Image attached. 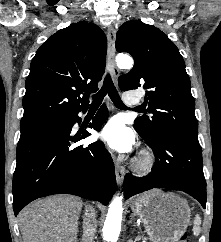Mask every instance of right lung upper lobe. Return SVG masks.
<instances>
[{"mask_svg": "<svg viewBox=\"0 0 221 242\" xmlns=\"http://www.w3.org/2000/svg\"><path fill=\"white\" fill-rule=\"evenodd\" d=\"M106 49L104 32L84 21L50 36L30 65L21 125L88 107L87 96L98 90L105 69Z\"/></svg>", "mask_w": 221, "mask_h": 242, "instance_id": "obj_1", "label": "right lung upper lobe"}]
</instances>
